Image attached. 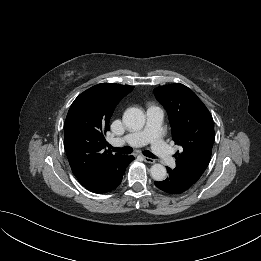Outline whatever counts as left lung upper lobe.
Instances as JSON below:
<instances>
[{
    "label": "left lung upper lobe",
    "mask_w": 261,
    "mask_h": 261,
    "mask_svg": "<svg viewBox=\"0 0 261 261\" xmlns=\"http://www.w3.org/2000/svg\"><path fill=\"white\" fill-rule=\"evenodd\" d=\"M154 94L168 113L175 143L183 148L174 155V170L196 183L211 158L215 140L212 116L197 95L183 84L157 87Z\"/></svg>",
    "instance_id": "1"
}]
</instances>
